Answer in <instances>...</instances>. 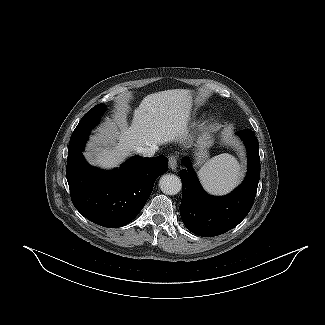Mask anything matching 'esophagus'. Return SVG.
I'll return each instance as SVG.
<instances>
[{"label": "esophagus", "instance_id": "obj_1", "mask_svg": "<svg viewBox=\"0 0 325 325\" xmlns=\"http://www.w3.org/2000/svg\"><path fill=\"white\" fill-rule=\"evenodd\" d=\"M168 162H169L170 169L176 170L177 165H178V159H177V157L174 156V155L170 156Z\"/></svg>", "mask_w": 325, "mask_h": 325}]
</instances>
